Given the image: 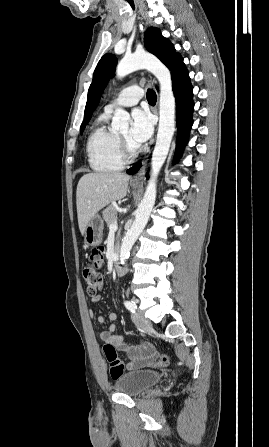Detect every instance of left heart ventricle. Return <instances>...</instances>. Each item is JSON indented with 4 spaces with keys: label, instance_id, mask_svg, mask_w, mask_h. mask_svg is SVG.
I'll return each mask as SVG.
<instances>
[{
    "label": "left heart ventricle",
    "instance_id": "left-heart-ventricle-1",
    "mask_svg": "<svg viewBox=\"0 0 269 447\" xmlns=\"http://www.w3.org/2000/svg\"><path fill=\"white\" fill-rule=\"evenodd\" d=\"M120 136L123 139H125L126 141H128L133 147H137L138 146L131 140V132L129 130L120 133Z\"/></svg>",
    "mask_w": 269,
    "mask_h": 447
}]
</instances>
